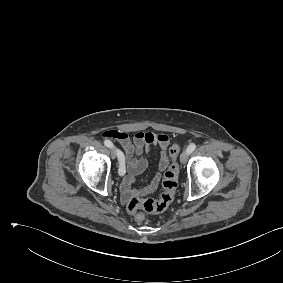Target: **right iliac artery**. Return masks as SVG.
Here are the masks:
<instances>
[{"label":"right iliac artery","instance_id":"obj_1","mask_svg":"<svg viewBox=\"0 0 283 283\" xmlns=\"http://www.w3.org/2000/svg\"><path fill=\"white\" fill-rule=\"evenodd\" d=\"M104 144L108 148H114V145L110 140H105ZM116 153H117V157H118V161H119L118 173H119V175H124L125 174V166L123 164V162H124L123 153L118 149H116Z\"/></svg>","mask_w":283,"mask_h":283}]
</instances>
